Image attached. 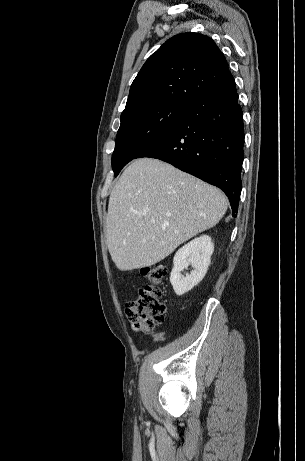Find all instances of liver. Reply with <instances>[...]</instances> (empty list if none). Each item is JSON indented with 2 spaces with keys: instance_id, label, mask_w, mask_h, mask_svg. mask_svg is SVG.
<instances>
[{
  "instance_id": "1",
  "label": "liver",
  "mask_w": 305,
  "mask_h": 461,
  "mask_svg": "<svg viewBox=\"0 0 305 461\" xmlns=\"http://www.w3.org/2000/svg\"><path fill=\"white\" fill-rule=\"evenodd\" d=\"M227 199L211 186L152 158L132 162L115 184L106 220L107 246L119 270L148 267L214 227Z\"/></svg>"
}]
</instances>
